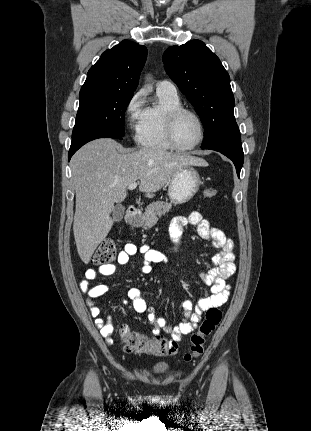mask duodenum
Returning <instances> with one entry per match:
<instances>
[{"label": "duodenum", "instance_id": "1", "mask_svg": "<svg viewBox=\"0 0 311 431\" xmlns=\"http://www.w3.org/2000/svg\"><path fill=\"white\" fill-rule=\"evenodd\" d=\"M139 214H140V210L137 207L130 206L126 210L125 220L128 223H132V222H134L138 218Z\"/></svg>", "mask_w": 311, "mask_h": 431}]
</instances>
